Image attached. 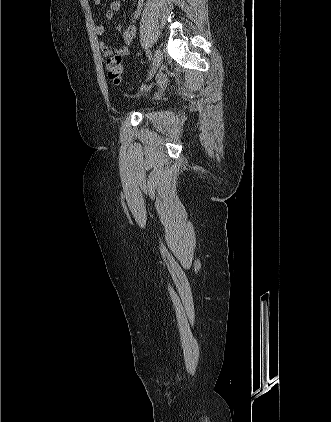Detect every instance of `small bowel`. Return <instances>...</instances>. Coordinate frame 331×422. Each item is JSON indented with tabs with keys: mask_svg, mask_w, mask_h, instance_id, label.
<instances>
[{
	"mask_svg": "<svg viewBox=\"0 0 331 422\" xmlns=\"http://www.w3.org/2000/svg\"><path fill=\"white\" fill-rule=\"evenodd\" d=\"M93 2L96 5L101 4V0H93ZM143 4H144V0H138L137 8L133 13V21L134 22L138 19L139 15L141 13V9H142ZM121 7H122L121 0H112L109 8L107 9L106 14H105L106 21L112 20L114 18V16L120 12ZM116 29L120 33V37H121V40H122V43H123V45L121 47L114 49V48L110 47L104 41H101L100 44H99L100 50H101L103 56L107 60H109L113 57H116V56L120 57L122 59V57L128 55L129 52H130V49L133 45L135 36H136V26H135L134 23L127 25V26H123L121 24H118ZM94 31H95V33L98 37H101L105 33V28H104L103 25L95 23Z\"/></svg>",
	"mask_w": 331,
	"mask_h": 422,
	"instance_id": "c3829d8e",
	"label": "small bowel"
}]
</instances>
